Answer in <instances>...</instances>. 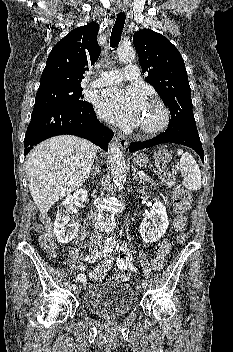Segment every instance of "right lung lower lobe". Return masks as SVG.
Segmentation results:
<instances>
[{
  "instance_id": "right-lung-lower-lobe-1",
  "label": "right lung lower lobe",
  "mask_w": 233,
  "mask_h": 352,
  "mask_svg": "<svg viewBox=\"0 0 233 352\" xmlns=\"http://www.w3.org/2000/svg\"><path fill=\"white\" fill-rule=\"evenodd\" d=\"M62 134L85 138L107 151L114 133L99 123L91 103L76 107H51L33 110L28 125L24 154L41 141Z\"/></svg>"
}]
</instances>
